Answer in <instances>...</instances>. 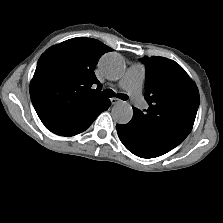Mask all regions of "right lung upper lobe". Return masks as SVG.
<instances>
[{"label": "right lung upper lobe", "mask_w": 223, "mask_h": 223, "mask_svg": "<svg viewBox=\"0 0 223 223\" xmlns=\"http://www.w3.org/2000/svg\"><path fill=\"white\" fill-rule=\"evenodd\" d=\"M98 40L78 37L49 48L38 61L30 85L34 108L43 124L55 134L85 131L107 107L94 69L111 51ZM96 84L97 89H93Z\"/></svg>", "instance_id": "cb5924a9"}]
</instances>
